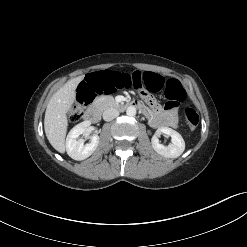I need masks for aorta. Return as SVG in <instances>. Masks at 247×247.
I'll return each instance as SVG.
<instances>
[{"label":"aorta","mask_w":247,"mask_h":247,"mask_svg":"<svg viewBox=\"0 0 247 247\" xmlns=\"http://www.w3.org/2000/svg\"><path fill=\"white\" fill-rule=\"evenodd\" d=\"M126 114L128 116H135L136 115V108L134 106H129L126 110Z\"/></svg>","instance_id":"obj_1"}]
</instances>
